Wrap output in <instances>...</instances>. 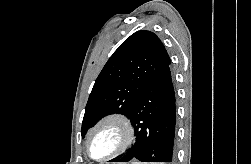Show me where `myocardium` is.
<instances>
[{"label":"myocardium","instance_id":"myocardium-1","mask_svg":"<svg viewBox=\"0 0 251 164\" xmlns=\"http://www.w3.org/2000/svg\"><path fill=\"white\" fill-rule=\"evenodd\" d=\"M112 124L116 126L121 133V140L118 147L104 157H94L90 151V142L93 135L103 126ZM135 139V130L131 120L123 113L114 112L103 116L89 130L86 137V152L88 156L96 162H105L125 153L132 145Z\"/></svg>","mask_w":251,"mask_h":164}]
</instances>
